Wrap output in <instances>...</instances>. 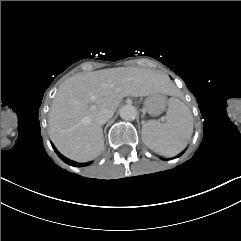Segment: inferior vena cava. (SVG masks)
I'll return each instance as SVG.
<instances>
[{
  "label": "inferior vena cava",
  "mask_w": 241,
  "mask_h": 241,
  "mask_svg": "<svg viewBox=\"0 0 241 241\" xmlns=\"http://www.w3.org/2000/svg\"><path fill=\"white\" fill-rule=\"evenodd\" d=\"M113 113L111 110L103 109L96 115L95 120L99 125H103L113 116Z\"/></svg>",
  "instance_id": "obj_1"
}]
</instances>
